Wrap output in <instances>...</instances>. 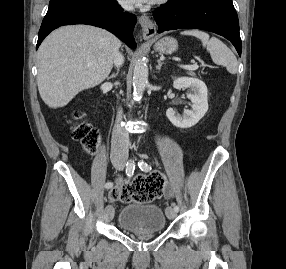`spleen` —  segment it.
<instances>
[{
  "mask_svg": "<svg viewBox=\"0 0 286 269\" xmlns=\"http://www.w3.org/2000/svg\"><path fill=\"white\" fill-rule=\"evenodd\" d=\"M182 35H191L201 40L202 45L210 53L214 63L225 66L231 74H236L238 62L233 52L218 38L211 37L208 33L200 30H187L181 32Z\"/></svg>",
  "mask_w": 286,
  "mask_h": 269,
  "instance_id": "spleen-1",
  "label": "spleen"
}]
</instances>
